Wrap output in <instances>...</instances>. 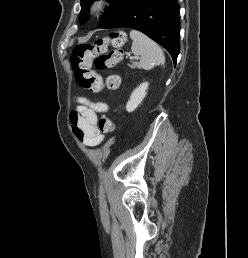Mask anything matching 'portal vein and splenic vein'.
Returning <instances> with one entry per match:
<instances>
[{
	"mask_svg": "<svg viewBox=\"0 0 248 258\" xmlns=\"http://www.w3.org/2000/svg\"><path fill=\"white\" fill-rule=\"evenodd\" d=\"M131 59H135L136 57L135 56H132V57H130Z\"/></svg>",
	"mask_w": 248,
	"mask_h": 258,
	"instance_id": "18ae733b",
	"label": "portal vein and splenic vein"
}]
</instances>
